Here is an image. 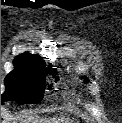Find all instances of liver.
Returning <instances> with one entry per match:
<instances>
[{
    "mask_svg": "<svg viewBox=\"0 0 122 123\" xmlns=\"http://www.w3.org/2000/svg\"><path fill=\"white\" fill-rule=\"evenodd\" d=\"M21 123H59L60 121H64L63 119H40L38 117L29 116V117H21Z\"/></svg>",
    "mask_w": 122,
    "mask_h": 123,
    "instance_id": "6515ba94",
    "label": "liver"
}]
</instances>
